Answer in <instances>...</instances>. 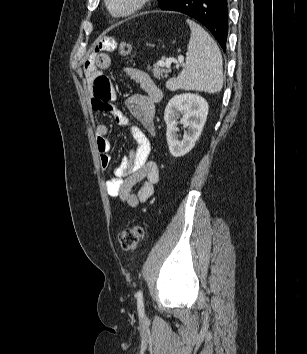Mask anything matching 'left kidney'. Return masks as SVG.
Masks as SVG:
<instances>
[{
  "label": "left kidney",
  "mask_w": 307,
  "mask_h": 354,
  "mask_svg": "<svg viewBox=\"0 0 307 354\" xmlns=\"http://www.w3.org/2000/svg\"><path fill=\"white\" fill-rule=\"evenodd\" d=\"M208 109L207 101L197 94L183 93L170 99L165 109L164 120L167 125V143L172 156H184L194 147L205 125ZM180 114L182 115L180 123L188 128L182 141H179L177 134V119Z\"/></svg>",
  "instance_id": "5707ae66"
}]
</instances>
